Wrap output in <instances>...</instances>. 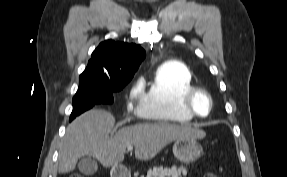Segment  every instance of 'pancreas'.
I'll list each match as a JSON object with an SVG mask.
<instances>
[{
    "label": "pancreas",
    "mask_w": 287,
    "mask_h": 177,
    "mask_svg": "<svg viewBox=\"0 0 287 177\" xmlns=\"http://www.w3.org/2000/svg\"><path fill=\"white\" fill-rule=\"evenodd\" d=\"M187 175V170L184 167L163 168L154 167L147 172L146 177H182Z\"/></svg>",
    "instance_id": "obj_1"
}]
</instances>
